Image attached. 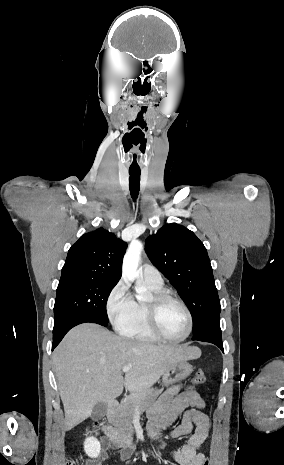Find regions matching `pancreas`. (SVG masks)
I'll use <instances>...</instances> for the list:
<instances>
[{
	"mask_svg": "<svg viewBox=\"0 0 284 465\" xmlns=\"http://www.w3.org/2000/svg\"><path fill=\"white\" fill-rule=\"evenodd\" d=\"M162 391L163 389H141V391L131 393L126 399H122L118 411L108 417L109 423L113 425V431L117 433L120 441H126V443L132 441L134 433L132 421L135 417V409H138L139 415H142L156 401Z\"/></svg>",
	"mask_w": 284,
	"mask_h": 465,
	"instance_id": "cf45deb5",
	"label": "pancreas"
}]
</instances>
